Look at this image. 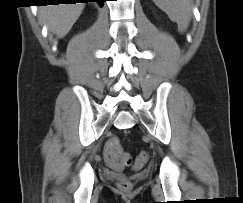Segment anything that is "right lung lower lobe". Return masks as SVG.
I'll use <instances>...</instances> for the list:
<instances>
[{"label":"right lung lower lobe","mask_w":243,"mask_h":203,"mask_svg":"<svg viewBox=\"0 0 243 203\" xmlns=\"http://www.w3.org/2000/svg\"><path fill=\"white\" fill-rule=\"evenodd\" d=\"M59 3H76L78 1H82V3H88V2H98L99 5L102 7L103 6V3L104 1L106 0H57ZM44 4L43 2H40V4H37V5H42ZM59 5V4H58Z\"/></svg>","instance_id":"98d812e1"}]
</instances>
